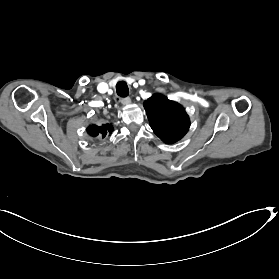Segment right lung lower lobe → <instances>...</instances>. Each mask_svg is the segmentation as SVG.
Returning <instances> with one entry per match:
<instances>
[{"label": "right lung lower lobe", "instance_id": "obj_1", "mask_svg": "<svg viewBox=\"0 0 279 279\" xmlns=\"http://www.w3.org/2000/svg\"><path fill=\"white\" fill-rule=\"evenodd\" d=\"M112 131L113 126L108 123L102 126L91 125L87 128V132L93 137H96L99 134H102L104 137L108 132L111 133Z\"/></svg>", "mask_w": 279, "mask_h": 279}]
</instances>
